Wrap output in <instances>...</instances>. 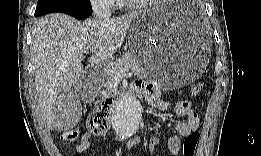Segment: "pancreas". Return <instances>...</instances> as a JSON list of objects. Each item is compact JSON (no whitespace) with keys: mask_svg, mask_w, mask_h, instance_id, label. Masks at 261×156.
<instances>
[{"mask_svg":"<svg viewBox=\"0 0 261 156\" xmlns=\"http://www.w3.org/2000/svg\"><path fill=\"white\" fill-rule=\"evenodd\" d=\"M127 67L130 73L143 75L146 73V68L143 62L134 53H126L121 58L112 61L105 69L103 74V87L111 92L112 83L116 76L117 70Z\"/></svg>","mask_w":261,"mask_h":156,"instance_id":"obj_1","label":"pancreas"}]
</instances>
